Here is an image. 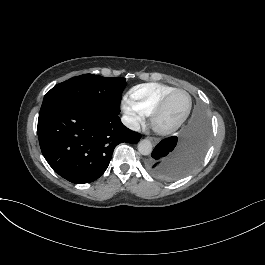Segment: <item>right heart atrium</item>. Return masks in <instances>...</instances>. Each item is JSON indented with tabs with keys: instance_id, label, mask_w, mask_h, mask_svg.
<instances>
[{
	"instance_id": "right-heart-atrium-1",
	"label": "right heart atrium",
	"mask_w": 265,
	"mask_h": 265,
	"mask_svg": "<svg viewBox=\"0 0 265 265\" xmlns=\"http://www.w3.org/2000/svg\"><path fill=\"white\" fill-rule=\"evenodd\" d=\"M123 107L127 112H129L133 116L134 124L140 125L141 123H143L144 114L132 101L125 98L123 101Z\"/></svg>"
}]
</instances>
